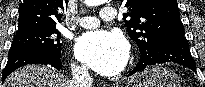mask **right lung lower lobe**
Returning <instances> with one entry per match:
<instances>
[{
  "mask_svg": "<svg viewBox=\"0 0 205 87\" xmlns=\"http://www.w3.org/2000/svg\"><path fill=\"white\" fill-rule=\"evenodd\" d=\"M51 65L57 70L61 69V56L51 55L35 49H14L9 51L8 62L2 74V82L14 70L27 64Z\"/></svg>",
  "mask_w": 205,
  "mask_h": 87,
  "instance_id": "obj_1",
  "label": "right lung lower lobe"
}]
</instances>
